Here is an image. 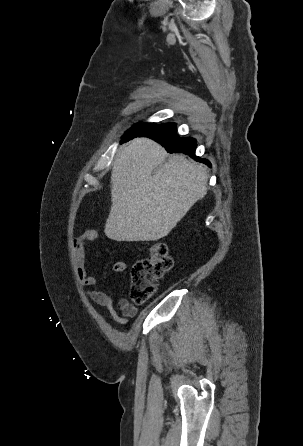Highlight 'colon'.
Masks as SVG:
<instances>
[{"label":"colon","instance_id":"colon-1","mask_svg":"<svg viewBox=\"0 0 303 446\" xmlns=\"http://www.w3.org/2000/svg\"><path fill=\"white\" fill-rule=\"evenodd\" d=\"M173 267V259L167 246L154 242L149 247V256L134 263L130 271L129 296L133 303L143 304L156 293V282Z\"/></svg>","mask_w":303,"mask_h":446}]
</instances>
